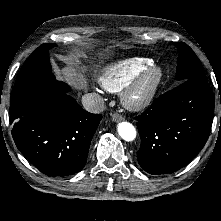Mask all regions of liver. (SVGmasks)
<instances>
[{"mask_svg": "<svg viewBox=\"0 0 221 221\" xmlns=\"http://www.w3.org/2000/svg\"><path fill=\"white\" fill-rule=\"evenodd\" d=\"M84 72L85 69L80 68L78 65H67L58 70L62 78L76 89H85L87 86Z\"/></svg>", "mask_w": 221, "mask_h": 221, "instance_id": "1", "label": "liver"}]
</instances>
